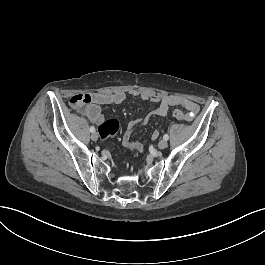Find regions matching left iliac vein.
I'll list each match as a JSON object with an SVG mask.
<instances>
[{"label": "left iliac vein", "mask_w": 265, "mask_h": 265, "mask_svg": "<svg viewBox=\"0 0 265 265\" xmlns=\"http://www.w3.org/2000/svg\"><path fill=\"white\" fill-rule=\"evenodd\" d=\"M168 143L166 140H161L159 143H158V148L159 149H165L167 147Z\"/></svg>", "instance_id": "4c4485c4"}]
</instances>
